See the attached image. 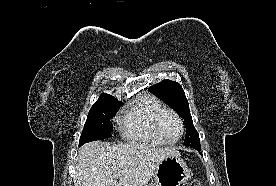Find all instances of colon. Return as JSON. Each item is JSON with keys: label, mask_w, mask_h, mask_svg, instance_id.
Masks as SVG:
<instances>
[{"label": "colon", "mask_w": 276, "mask_h": 186, "mask_svg": "<svg viewBox=\"0 0 276 186\" xmlns=\"http://www.w3.org/2000/svg\"><path fill=\"white\" fill-rule=\"evenodd\" d=\"M190 186H201V183L199 181H193Z\"/></svg>", "instance_id": "5ec220e1"}]
</instances>
